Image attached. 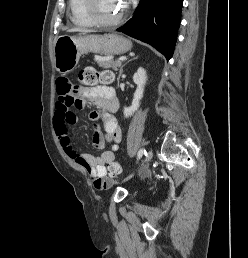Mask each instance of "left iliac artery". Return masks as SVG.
<instances>
[{
	"label": "left iliac artery",
	"instance_id": "44dca946",
	"mask_svg": "<svg viewBox=\"0 0 248 258\" xmlns=\"http://www.w3.org/2000/svg\"><path fill=\"white\" fill-rule=\"evenodd\" d=\"M143 155H147V152L145 149H140L137 155V159H140Z\"/></svg>",
	"mask_w": 248,
	"mask_h": 258
}]
</instances>
